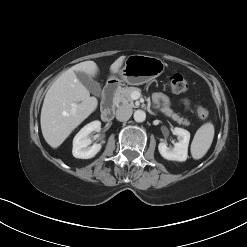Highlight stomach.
Segmentation results:
<instances>
[{"label": "stomach", "instance_id": "0dacf381", "mask_svg": "<svg viewBox=\"0 0 247 247\" xmlns=\"http://www.w3.org/2000/svg\"><path fill=\"white\" fill-rule=\"evenodd\" d=\"M164 69L165 63L160 58L134 54L126 58L124 67L117 73L129 85H142L160 76ZM109 81L120 82V79L111 75Z\"/></svg>", "mask_w": 247, "mask_h": 247}]
</instances>
